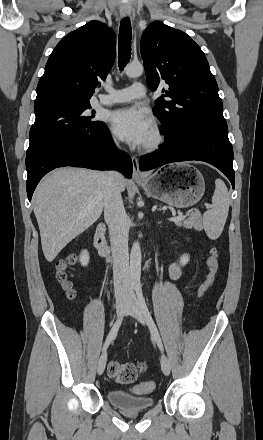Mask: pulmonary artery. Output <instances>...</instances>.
Wrapping results in <instances>:
<instances>
[{
    "instance_id": "1",
    "label": "pulmonary artery",
    "mask_w": 263,
    "mask_h": 440,
    "mask_svg": "<svg viewBox=\"0 0 263 440\" xmlns=\"http://www.w3.org/2000/svg\"><path fill=\"white\" fill-rule=\"evenodd\" d=\"M145 93V85L141 82H135L127 88L112 90L108 94L100 96L97 103L99 105H112L115 103L127 102L142 98Z\"/></svg>"
}]
</instances>
